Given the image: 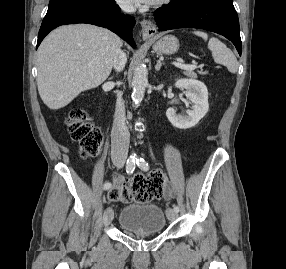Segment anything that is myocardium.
I'll list each match as a JSON object with an SVG mask.
<instances>
[{"instance_id":"myocardium-1","label":"myocardium","mask_w":286,"mask_h":269,"mask_svg":"<svg viewBox=\"0 0 286 269\" xmlns=\"http://www.w3.org/2000/svg\"><path fill=\"white\" fill-rule=\"evenodd\" d=\"M171 0H157L156 2H155V5H157V6H162V5H165V4H167L168 2H170Z\"/></svg>"}]
</instances>
